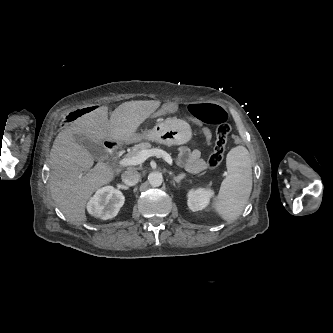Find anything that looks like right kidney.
<instances>
[{
  "mask_svg": "<svg viewBox=\"0 0 333 333\" xmlns=\"http://www.w3.org/2000/svg\"><path fill=\"white\" fill-rule=\"evenodd\" d=\"M125 197L112 186H105L96 191L87 204L88 212L103 220L115 217L123 206Z\"/></svg>",
  "mask_w": 333,
  "mask_h": 333,
  "instance_id": "right-kidney-1",
  "label": "right kidney"
}]
</instances>
